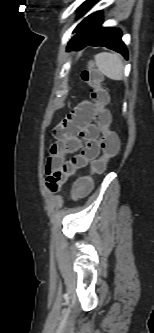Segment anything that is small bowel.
<instances>
[{
    "label": "small bowel",
    "instance_id": "1",
    "mask_svg": "<svg viewBox=\"0 0 154 333\" xmlns=\"http://www.w3.org/2000/svg\"><path fill=\"white\" fill-rule=\"evenodd\" d=\"M96 107L81 102L54 129L56 141L52 144L46 162V185L57 192L78 169L98 158L101 148L100 129L93 122ZM68 155H72L68 159Z\"/></svg>",
    "mask_w": 154,
    "mask_h": 333
}]
</instances>
